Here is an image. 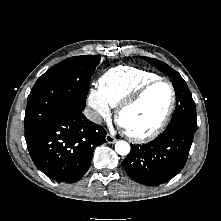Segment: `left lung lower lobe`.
I'll use <instances>...</instances> for the list:
<instances>
[{"label":"left lung lower lobe","instance_id":"1","mask_svg":"<svg viewBox=\"0 0 221 221\" xmlns=\"http://www.w3.org/2000/svg\"><path fill=\"white\" fill-rule=\"evenodd\" d=\"M195 130L178 126L166 130L153 141L131 145L123 166L136 182L156 186L176 176L184 167Z\"/></svg>","mask_w":221,"mask_h":221}]
</instances>
